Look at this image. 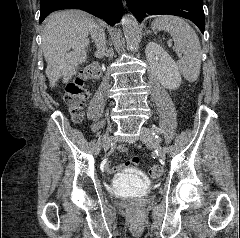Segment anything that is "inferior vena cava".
Segmentation results:
<instances>
[{
  "label": "inferior vena cava",
  "mask_w": 240,
  "mask_h": 238,
  "mask_svg": "<svg viewBox=\"0 0 240 238\" xmlns=\"http://www.w3.org/2000/svg\"><path fill=\"white\" fill-rule=\"evenodd\" d=\"M92 39L96 44L97 53L103 56L106 51V37L103 29L100 27L95 28L91 33Z\"/></svg>",
  "instance_id": "inferior-vena-cava-1"
}]
</instances>
